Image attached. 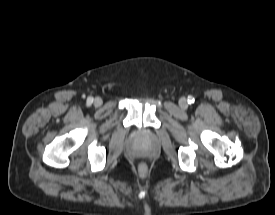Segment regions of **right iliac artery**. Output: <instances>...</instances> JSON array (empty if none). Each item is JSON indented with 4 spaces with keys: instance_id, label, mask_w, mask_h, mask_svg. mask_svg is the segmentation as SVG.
<instances>
[{
    "instance_id": "right-iliac-artery-1",
    "label": "right iliac artery",
    "mask_w": 275,
    "mask_h": 215,
    "mask_svg": "<svg viewBox=\"0 0 275 215\" xmlns=\"http://www.w3.org/2000/svg\"><path fill=\"white\" fill-rule=\"evenodd\" d=\"M92 102H93V98H92V97H88V98H87V103H88V104H91Z\"/></svg>"
}]
</instances>
